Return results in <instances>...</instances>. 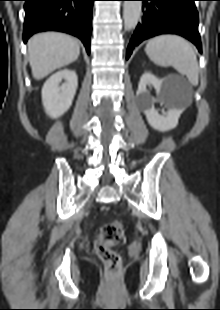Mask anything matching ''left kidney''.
<instances>
[{"label":"left kidney","mask_w":220,"mask_h":310,"mask_svg":"<svg viewBox=\"0 0 220 310\" xmlns=\"http://www.w3.org/2000/svg\"><path fill=\"white\" fill-rule=\"evenodd\" d=\"M153 85L157 94L163 97L167 90V80L158 79L152 73L145 72L138 85L137 96L144 114L146 115L149 125L158 131H169L174 129L177 124L179 117L182 113L181 110L171 108L167 112L162 111L159 114L154 108L155 99L149 94L147 86Z\"/></svg>","instance_id":"left-kidney-1"}]
</instances>
